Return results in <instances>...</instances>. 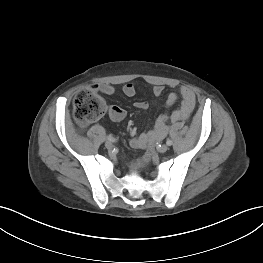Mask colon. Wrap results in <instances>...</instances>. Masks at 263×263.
Instances as JSON below:
<instances>
[{
    "label": "colon",
    "mask_w": 263,
    "mask_h": 263,
    "mask_svg": "<svg viewBox=\"0 0 263 263\" xmlns=\"http://www.w3.org/2000/svg\"><path fill=\"white\" fill-rule=\"evenodd\" d=\"M106 109L104 99L93 89L80 91L73 101L74 118L84 126L100 119Z\"/></svg>",
    "instance_id": "1"
}]
</instances>
